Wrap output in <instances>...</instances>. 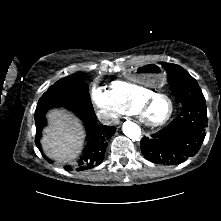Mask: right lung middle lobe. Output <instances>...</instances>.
I'll list each match as a JSON object with an SVG mask.
<instances>
[{
  "label": "right lung middle lobe",
  "mask_w": 221,
  "mask_h": 221,
  "mask_svg": "<svg viewBox=\"0 0 221 221\" xmlns=\"http://www.w3.org/2000/svg\"><path fill=\"white\" fill-rule=\"evenodd\" d=\"M59 106L77 113L92 110L88 85L73 76L60 79L41 96L35 111V119L44 116L49 108Z\"/></svg>",
  "instance_id": "1"
}]
</instances>
